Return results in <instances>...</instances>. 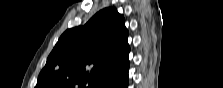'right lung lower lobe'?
Instances as JSON below:
<instances>
[{"label": "right lung lower lobe", "instance_id": "98d812e1", "mask_svg": "<svg viewBox=\"0 0 223 88\" xmlns=\"http://www.w3.org/2000/svg\"><path fill=\"white\" fill-rule=\"evenodd\" d=\"M128 86V80L124 82L122 85H120L118 88H127Z\"/></svg>", "mask_w": 223, "mask_h": 88}]
</instances>
